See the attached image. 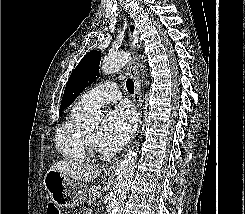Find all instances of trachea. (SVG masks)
Segmentation results:
<instances>
[{
  "label": "trachea",
  "mask_w": 245,
  "mask_h": 214,
  "mask_svg": "<svg viewBox=\"0 0 245 214\" xmlns=\"http://www.w3.org/2000/svg\"><path fill=\"white\" fill-rule=\"evenodd\" d=\"M126 87L129 93L133 94L134 93V82L132 79H128L126 82Z\"/></svg>",
  "instance_id": "3493384b"
}]
</instances>
